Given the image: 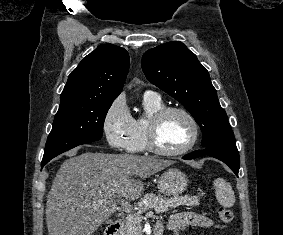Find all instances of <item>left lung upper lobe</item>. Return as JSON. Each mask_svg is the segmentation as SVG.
I'll return each instance as SVG.
<instances>
[{
    "instance_id": "1",
    "label": "left lung upper lobe",
    "mask_w": 283,
    "mask_h": 235,
    "mask_svg": "<svg viewBox=\"0 0 283 235\" xmlns=\"http://www.w3.org/2000/svg\"><path fill=\"white\" fill-rule=\"evenodd\" d=\"M141 65L152 84L191 113L202 130V146L236 145L208 71L182 42L171 41L148 50Z\"/></svg>"
}]
</instances>
